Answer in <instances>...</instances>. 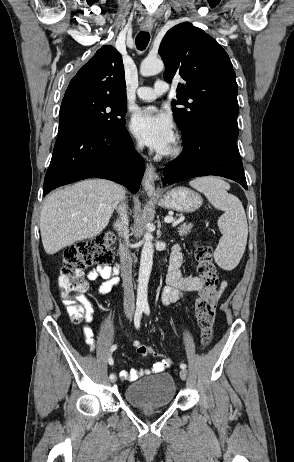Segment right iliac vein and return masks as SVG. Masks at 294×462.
<instances>
[{
  "mask_svg": "<svg viewBox=\"0 0 294 462\" xmlns=\"http://www.w3.org/2000/svg\"><path fill=\"white\" fill-rule=\"evenodd\" d=\"M115 381H116V377H115L114 379L111 380V382H113V383H114Z\"/></svg>",
  "mask_w": 294,
  "mask_h": 462,
  "instance_id": "1",
  "label": "right iliac vein"
}]
</instances>
